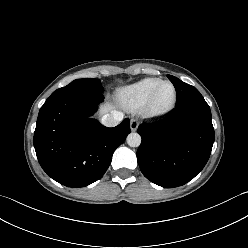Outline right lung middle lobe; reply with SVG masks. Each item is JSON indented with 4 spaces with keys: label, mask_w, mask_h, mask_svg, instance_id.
Masks as SVG:
<instances>
[{
    "label": "right lung middle lobe",
    "mask_w": 248,
    "mask_h": 248,
    "mask_svg": "<svg viewBox=\"0 0 248 248\" xmlns=\"http://www.w3.org/2000/svg\"><path fill=\"white\" fill-rule=\"evenodd\" d=\"M103 86L98 79H77L72 81L65 87L57 89L54 93L65 92V91H79V92H90L96 94L103 93Z\"/></svg>",
    "instance_id": "dd1d6c3e"
}]
</instances>
